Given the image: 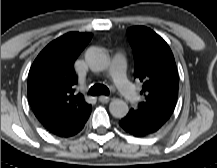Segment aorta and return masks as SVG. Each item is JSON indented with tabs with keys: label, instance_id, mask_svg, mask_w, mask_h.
Returning <instances> with one entry per match:
<instances>
[{
	"label": "aorta",
	"instance_id": "aorta-1",
	"mask_svg": "<svg viewBox=\"0 0 217 168\" xmlns=\"http://www.w3.org/2000/svg\"><path fill=\"white\" fill-rule=\"evenodd\" d=\"M85 61L93 71H104L109 66V58L104 50L98 47H90L85 53ZM109 111L115 118H123L129 108L122 99H113L109 104Z\"/></svg>",
	"mask_w": 217,
	"mask_h": 168
}]
</instances>
